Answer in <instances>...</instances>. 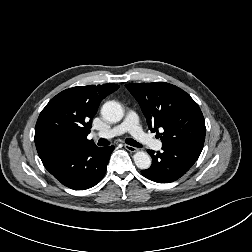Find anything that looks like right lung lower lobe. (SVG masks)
Instances as JSON below:
<instances>
[{
    "label": "right lung lower lobe",
    "mask_w": 252,
    "mask_h": 252,
    "mask_svg": "<svg viewBox=\"0 0 252 252\" xmlns=\"http://www.w3.org/2000/svg\"><path fill=\"white\" fill-rule=\"evenodd\" d=\"M114 146L71 145L58 148L42 157L45 168L63 185L85 190L104 176Z\"/></svg>",
    "instance_id": "1"
}]
</instances>
